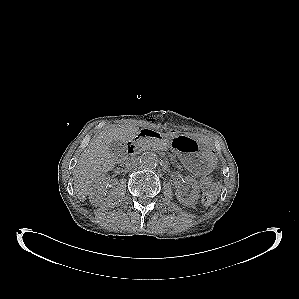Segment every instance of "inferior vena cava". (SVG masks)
<instances>
[{
	"mask_svg": "<svg viewBox=\"0 0 299 299\" xmlns=\"http://www.w3.org/2000/svg\"><path fill=\"white\" fill-rule=\"evenodd\" d=\"M126 165L129 167H135L138 165V161L136 159H132Z\"/></svg>",
	"mask_w": 299,
	"mask_h": 299,
	"instance_id": "602c4592",
	"label": "inferior vena cava"
}]
</instances>
